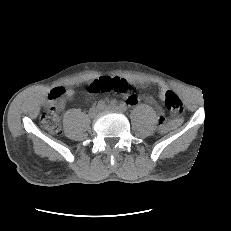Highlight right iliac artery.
<instances>
[{
	"label": "right iliac artery",
	"mask_w": 231,
	"mask_h": 231,
	"mask_svg": "<svg viewBox=\"0 0 231 231\" xmlns=\"http://www.w3.org/2000/svg\"><path fill=\"white\" fill-rule=\"evenodd\" d=\"M106 106L105 102L103 100L99 101L97 104V107L100 109H103Z\"/></svg>",
	"instance_id": "obj_1"
}]
</instances>
